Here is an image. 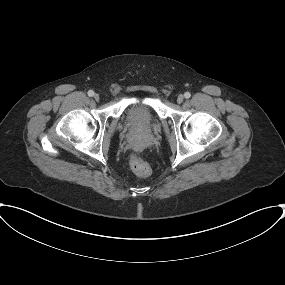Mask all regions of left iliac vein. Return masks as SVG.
<instances>
[{"instance_id":"obj_1","label":"left iliac vein","mask_w":285,"mask_h":285,"mask_svg":"<svg viewBox=\"0 0 285 285\" xmlns=\"http://www.w3.org/2000/svg\"><path fill=\"white\" fill-rule=\"evenodd\" d=\"M183 100H184V96L183 95H179L177 97V103L181 104L183 102Z\"/></svg>"}]
</instances>
